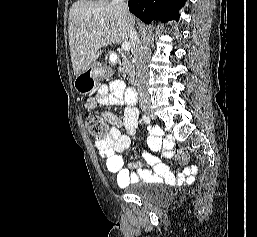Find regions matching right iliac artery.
<instances>
[{"label":"right iliac artery","instance_id":"82829eb1","mask_svg":"<svg viewBox=\"0 0 257 237\" xmlns=\"http://www.w3.org/2000/svg\"><path fill=\"white\" fill-rule=\"evenodd\" d=\"M143 120L146 124H149L150 123V118L146 115H143Z\"/></svg>","mask_w":257,"mask_h":237}]
</instances>
